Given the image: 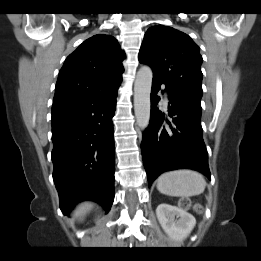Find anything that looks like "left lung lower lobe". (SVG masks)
<instances>
[{
    "instance_id": "1",
    "label": "left lung lower lobe",
    "mask_w": 261,
    "mask_h": 261,
    "mask_svg": "<svg viewBox=\"0 0 261 261\" xmlns=\"http://www.w3.org/2000/svg\"><path fill=\"white\" fill-rule=\"evenodd\" d=\"M161 81L153 79L150 124L141 144L148 186L163 172L189 168L210 179L208 153L201 126V99L166 86L167 114L157 107Z\"/></svg>"
}]
</instances>
